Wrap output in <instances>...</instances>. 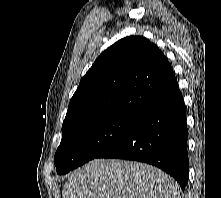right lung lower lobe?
<instances>
[{
	"label": "right lung lower lobe",
	"mask_w": 221,
	"mask_h": 198,
	"mask_svg": "<svg viewBox=\"0 0 221 198\" xmlns=\"http://www.w3.org/2000/svg\"><path fill=\"white\" fill-rule=\"evenodd\" d=\"M188 129L179 88L145 113L136 126L97 158L145 162L170 174L182 190L188 183Z\"/></svg>",
	"instance_id": "right-lung-lower-lobe-1"
}]
</instances>
